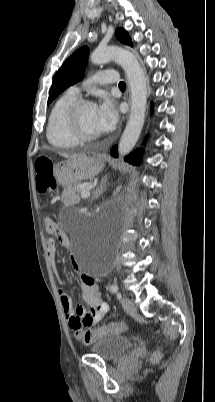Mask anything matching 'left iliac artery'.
<instances>
[{"label": "left iliac artery", "instance_id": "1", "mask_svg": "<svg viewBox=\"0 0 215 402\" xmlns=\"http://www.w3.org/2000/svg\"><path fill=\"white\" fill-rule=\"evenodd\" d=\"M110 290H111L112 293H116V295H117V297L119 299L122 297L121 293L118 292V286L117 285H112Z\"/></svg>", "mask_w": 215, "mask_h": 402}]
</instances>
